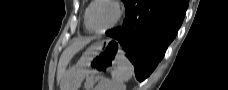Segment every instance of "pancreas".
I'll list each match as a JSON object with an SVG mask.
<instances>
[{"label": "pancreas", "mask_w": 228, "mask_h": 90, "mask_svg": "<svg viewBox=\"0 0 228 90\" xmlns=\"http://www.w3.org/2000/svg\"><path fill=\"white\" fill-rule=\"evenodd\" d=\"M98 78L94 76H90L86 79L84 83V87L86 90H91L94 86V84L97 82Z\"/></svg>", "instance_id": "pancreas-1"}]
</instances>
